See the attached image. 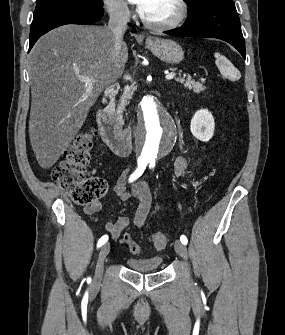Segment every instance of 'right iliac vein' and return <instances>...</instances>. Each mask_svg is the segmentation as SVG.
<instances>
[{
  "label": "right iliac vein",
  "mask_w": 285,
  "mask_h": 335,
  "mask_svg": "<svg viewBox=\"0 0 285 335\" xmlns=\"http://www.w3.org/2000/svg\"><path fill=\"white\" fill-rule=\"evenodd\" d=\"M110 248L109 244H104L99 251L97 264H96V272L93 279V283L98 286L102 281L103 269H104V260L106 256L109 254Z\"/></svg>",
  "instance_id": "obj_1"
}]
</instances>
